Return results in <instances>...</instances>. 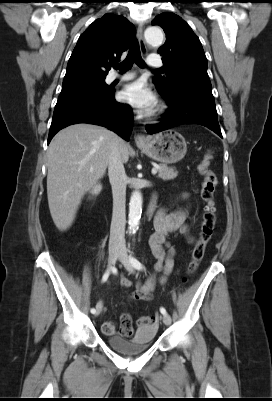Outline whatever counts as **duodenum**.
I'll use <instances>...</instances> for the list:
<instances>
[{
  "mask_svg": "<svg viewBox=\"0 0 272 401\" xmlns=\"http://www.w3.org/2000/svg\"><path fill=\"white\" fill-rule=\"evenodd\" d=\"M155 209V199H152L147 208V215L151 216Z\"/></svg>",
  "mask_w": 272,
  "mask_h": 401,
  "instance_id": "obj_1",
  "label": "duodenum"
}]
</instances>
